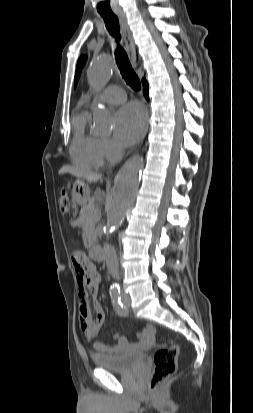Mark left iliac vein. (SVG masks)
Listing matches in <instances>:
<instances>
[{"mask_svg": "<svg viewBox=\"0 0 253 413\" xmlns=\"http://www.w3.org/2000/svg\"><path fill=\"white\" fill-rule=\"evenodd\" d=\"M122 300H123L125 307L128 308L130 306V297L127 294H123Z\"/></svg>", "mask_w": 253, "mask_h": 413, "instance_id": "4c4485c4", "label": "left iliac vein"}]
</instances>
